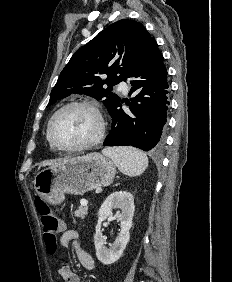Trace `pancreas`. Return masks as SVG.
Returning a JSON list of instances; mask_svg holds the SVG:
<instances>
[{
	"mask_svg": "<svg viewBox=\"0 0 232 282\" xmlns=\"http://www.w3.org/2000/svg\"><path fill=\"white\" fill-rule=\"evenodd\" d=\"M87 212H88V207H87V206H80V207L74 212V215H75V217H77V218L84 219V218H85V215L87 214Z\"/></svg>",
	"mask_w": 232,
	"mask_h": 282,
	"instance_id": "1",
	"label": "pancreas"
}]
</instances>
